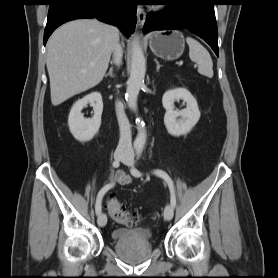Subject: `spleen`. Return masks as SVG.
I'll return each instance as SVG.
<instances>
[{"mask_svg": "<svg viewBox=\"0 0 278 278\" xmlns=\"http://www.w3.org/2000/svg\"><path fill=\"white\" fill-rule=\"evenodd\" d=\"M189 46V57L198 65V72L208 78L213 77V62L207 49L197 40L187 37Z\"/></svg>", "mask_w": 278, "mask_h": 278, "instance_id": "3e777b00", "label": "spleen"}]
</instances>
